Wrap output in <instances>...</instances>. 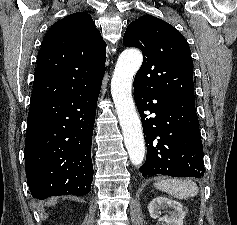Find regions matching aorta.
Returning a JSON list of instances; mask_svg holds the SVG:
<instances>
[{
	"mask_svg": "<svg viewBox=\"0 0 237 225\" xmlns=\"http://www.w3.org/2000/svg\"><path fill=\"white\" fill-rule=\"evenodd\" d=\"M143 61L136 49L123 51L116 63L111 80V94L122 129L124 144L132 164L139 166L145 156L141 121L132 97V82Z\"/></svg>",
	"mask_w": 237,
	"mask_h": 225,
	"instance_id": "1",
	"label": "aorta"
}]
</instances>
